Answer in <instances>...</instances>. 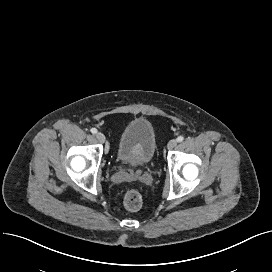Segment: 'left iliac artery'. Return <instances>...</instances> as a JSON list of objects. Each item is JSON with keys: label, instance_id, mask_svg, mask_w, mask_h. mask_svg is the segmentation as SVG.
<instances>
[{"label": "left iliac artery", "instance_id": "44dca946", "mask_svg": "<svg viewBox=\"0 0 272 272\" xmlns=\"http://www.w3.org/2000/svg\"><path fill=\"white\" fill-rule=\"evenodd\" d=\"M183 140H184V137H183V136H178V137H177V141H178V142H182Z\"/></svg>", "mask_w": 272, "mask_h": 272}]
</instances>
